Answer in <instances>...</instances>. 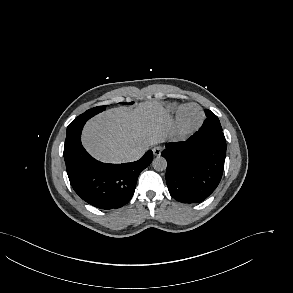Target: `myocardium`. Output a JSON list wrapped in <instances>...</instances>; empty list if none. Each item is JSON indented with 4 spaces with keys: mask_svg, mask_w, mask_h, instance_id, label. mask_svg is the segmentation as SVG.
I'll use <instances>...</instances> for the list:
<instances>
[{
    "mask_svg": "<svg viewBox=\"0 0 293 293\" xmlns=\"http://www.w3.org/2000/svg\"><path fill=\"white\" fill-rule=\"evenodd\" d=\"M191 107L197 108L201 114L199 121L193 125L187 124L184 120L185 111ZM204 120H205V114L199 105L194 104V103L182 105L181 107H179V109L177 111V115H176V133H177V135L181 138H185V137L192 135L193 133H195L196 131L199 130V128L204 123Z\"/></svg>",
    "mask_w": 293,
    "mask_h": 293,
    "instance_id": "myocardium-1",
    "label": "myocardium"
}]
</instances>
